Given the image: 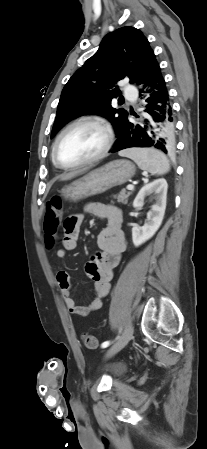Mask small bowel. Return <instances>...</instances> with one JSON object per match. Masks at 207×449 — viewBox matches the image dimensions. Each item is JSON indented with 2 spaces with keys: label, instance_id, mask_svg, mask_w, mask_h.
<instances>
[{
  "label": "small bowel",
  "instance_id": "c3829d8e",
  "mask_svg": "<svg viewBox=\"0 0 207 449\" xmlns=\"http://www.w3.org/2000/svg\"><path fill=\"white\" fill-rule=\"evenodd\" d=\"M87 212L106 222V226L97 238L100 252L96 253L86 264V274L94 281V296L89 304L78 305L71 292L69 275L65 270H57L55 279L68 311L84 317L101 308L103 298L108 294L113 271L118 266L122 253L126 250V238L122 230L123 216L113 205L99 202L90 203ZM83 214H71L63 222L64 235L61 248L56 251V258L64 260L67 251L74 250L80 232Z\"/></svg>",
  "mask_w": 207,
  "mask_h": 449
}]
</instances>
